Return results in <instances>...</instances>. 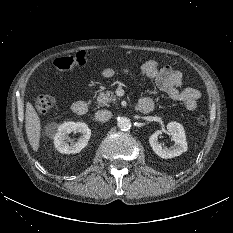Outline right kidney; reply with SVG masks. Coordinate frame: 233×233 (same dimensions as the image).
Wrapping results in <instances>:
<instances>
[{
    "label": "right kidney",
    "instance_id": "obj_1",
    "mask_svg": "<svg viewBox=\"0 0 233 233\" xmlns=\"http://www.w3.org/2000/svg\"><path fill=\"white\" fill-rule=\"evenodd\" d=\"M47 134L54 139L55 148L60 153L76 154L79 153L84 147H86L90 136L91 130L88 125L82 122H64L57 125L51 123L46 128ZM80 133L76 143L68 144V135L71 133Z\"/></svg>",
    "mask_w": 233,
    "mask_h": 233
}]
</instances>
